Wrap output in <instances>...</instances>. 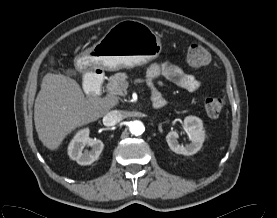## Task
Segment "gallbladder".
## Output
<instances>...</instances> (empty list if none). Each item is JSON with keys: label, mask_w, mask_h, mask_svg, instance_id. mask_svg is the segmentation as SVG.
Returning <instances> with one entry per match:
<instances>
[{"label": "gallbladder", "mask_w": 277, "mask_h": 218, "mask_svg": "<svg viewBox=\"0 0 277 218\" xmlns=\"http://www.w3.org/2000/svg\"><path fill=\"white\" fill-rule=\"evenodd\" d=\"M65 74L68 75V76H76L77 75L76 71L73 70V69L66 70Z\"/></svg>", "instance_id": "gallbladder-1"}]
</instances>
